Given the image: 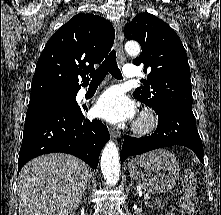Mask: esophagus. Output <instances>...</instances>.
<instances>
[{
	"label": "esophagus",
	"instance_id": "obj_1",
	"mask_svg": "<svg viewBox=\"0 0 221 215\" xmlns=\"http://www.w3.org/2000/svg\"><path fill=\"white\" fill-rule=\"evenodd\" d=\"M114 28H115V34H116V41H115V47L117 51L118 61L119 63H122L124 60V52H123V35H122V25L119 20H116L114 22ZM110 135L114 139H118L121 136V133L119 130L111 129Z\"/></svg>",
	"mask_w": 221,
	"mask_h": 215
}]
</instances>
